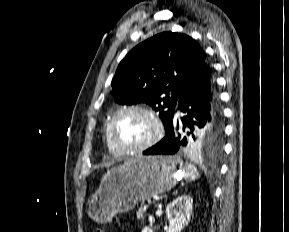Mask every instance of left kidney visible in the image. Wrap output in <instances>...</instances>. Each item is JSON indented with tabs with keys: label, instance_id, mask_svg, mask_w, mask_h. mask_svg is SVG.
<instances>
[{
	"label": "left kidney",
	"instance_id": "obj_1",
	"mask_svg": "<svg viewBox=\"0 0 289 232\" xmlns=\"http://www.w3.org/2000/svg\"><path fill=\"white\" fill-rule=\"evenodd\" d=\"M193 210V200L190 195H181L170 202L166 207L169 220L167 232H181L188 225ZM142 232H153L149 227H144Z\"/></svg>",
	"mask_w": 289,
	"mask_h": 232
}]
</instances>
